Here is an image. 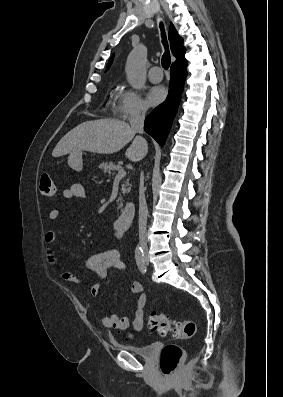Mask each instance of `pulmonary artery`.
<instances>
[{"label":"pulmonary artery","instance_id":"1","mask_svg":"<svg viewBox=\"0 0 283 397\" xmlns=\"http://www.w3.org/2000/svg\"><path fill=\"white\" fill-rule=\"evenodd\" d=\"M148 77L150 79L151 82L153 83H158L162 80L163 78V74H162V70L159 66H153L150 68L149 72H148Z\"/></svg>","mask_w":283,"mask_h":397}]
</instances>
